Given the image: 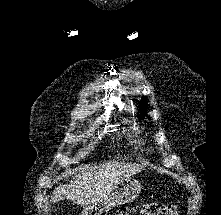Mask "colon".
Returning a JSON list of instances; mask_svg holds the SVG:
<instances>
[{"mask_svg":"<svg viewBox=\"0 0 221 215\" xmlns=\"http://www.w3.org/2000/svg\"><path fill=\"white\" fill-rule=\"evenodd\" d=\"M142 215H181L176 204L148 203L140 208ZM132 210L122 208L117 215H131Z\"/></svg>","mask_w":221,"mask_h":215,"instance_id":"5ec220e1","label":"colon"}]
</instances>
